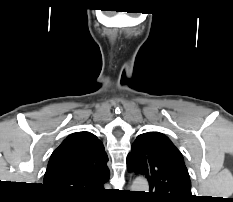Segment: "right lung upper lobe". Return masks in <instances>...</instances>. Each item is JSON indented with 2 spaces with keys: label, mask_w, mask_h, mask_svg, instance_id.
Returning <instances> with one entry per match:
<instances>
[{
  "label": "right lung upper lobe",
  "mask_w": 233,
  "mask_h": 202,
  "mask_svg": "<svg viewBox=\"0 0 233 202\" xmlns=\"http://www.w3.org/2000/svg\"><path fill=\"white\" fill-rule=\"evenodd\" d=\"M103 143L90 132L69 135L52 153L44 185L58 196L95 195L109 178Z\"/></svg>",
  "instance_id": "obj_1"
}]
</instances>
